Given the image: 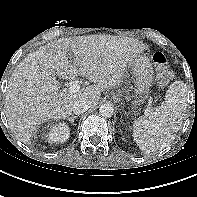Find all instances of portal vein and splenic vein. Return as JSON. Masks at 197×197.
I'll use <instances>...</instances> for the list:
<instances>
[{
  "label": "portal vein and splenic vein",
  "mask_w": 197,
  "mask_h": 197,
  "mask_svg": "<svg viewBox=\"0 0 197 197\" xmlns=\"http://www.w3.org/2000/svg\"><path fill=\"white\" fill-rule=\"evenodd\" d=\"M80 90V85L78 83H72L68 89V92L70 93H77ZM150 112V110H147Z\"/></svg>",
  "instance_id": "portal-vein-and-splenic-vein-1"
}]
</instances>
